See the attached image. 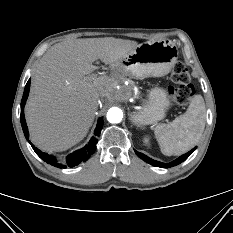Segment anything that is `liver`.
<instances>
[{
    "label": "liver",
    "mask_w": 233,
    "mask_h": 233,
    "mask_svg": "<svg viewBox=\"0 0 233 233\" xmlns=\"http://www.w3.org/2000/svg\"><path fill=\"white\" fill-rule=\"evenodd\" d=\"M131 40L69 39L43 55L32 77L25 107L30 139L43 151H64L80 142L93 123L100 97L108 96L111 79L91 78L100 59L115 64L134 49Z\"/></svg>",
    "instance_id": "obj_1"
}]
</instances>
